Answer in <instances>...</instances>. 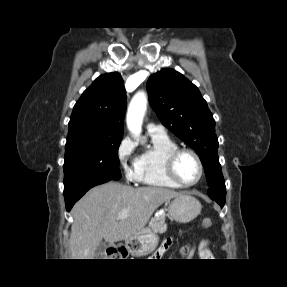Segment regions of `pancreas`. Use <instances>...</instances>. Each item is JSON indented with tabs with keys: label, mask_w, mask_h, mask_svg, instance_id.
<instances>
[{
	"label": "pancreas",
	"mask_w": 287,
	"mask_h": 287,
	"mask_svg": "<svg viewBox=\"0 0 287 287\" xmlns=\"http://www.w3.org/2000/svg\"><path fill=\"white\" fill-rule=\"evenodd\" d=\"M149 227L155 233L166 231L167 225L165 223V215L151 218Z\"/></svg>",
	"instance_id": "1"
}]
</instances>
